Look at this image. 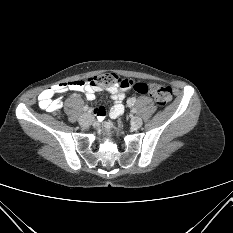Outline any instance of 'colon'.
Listing matches in <instances>:
<instances>
[{"label":"colon","instance_id":"colon-1","mask_svg":"<svg viewBox=\"0 0 233 233\" xmlns=\"http://www.w3.org/2000/svg\"><path fill=\"white\" fill-rule=\"evenodd\" d=\"M91 79L97 84H103V88L117 86L125 91L134 90L140 94H149L159 106L167 105L172 99V90L168 86L158 84H146L142 82L134 83L131 80L124 79L114 73H103Z\"/></svg>","mask_w":233,"mask_h":233}]
</instances>
